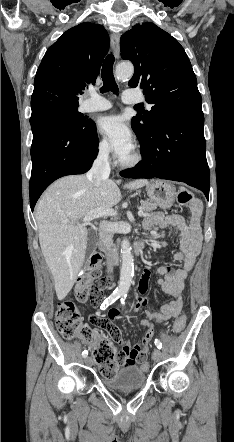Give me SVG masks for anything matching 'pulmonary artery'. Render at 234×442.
I'll use <instances>...</instances> for the list:
<instances>
[{
    "label": "pulmonary artery",
    "mask_w": 234,
    "mask_h": 442,
    "mask_svg": "<svg viewBox=\"0 0 234 442\" xmlns=\"http://www.w3.org/2000/svg\"><path fill=\"white\" fill-rule=\"evenodd\" d=\"M122 100L126 104H135L142 102L143 98L139 95L125 92ZM147 106L150 107L149 104H147ZM83 107L87 112H100L110 109L112 104L105 98L98 95L96 92L90 91L89 98L84 102Z\"/></svg>",
    "instance_id": "obj_1"
}]
</instances>
